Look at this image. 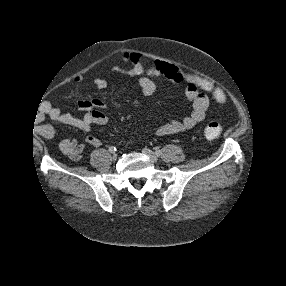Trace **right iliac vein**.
<instances>
[{
  "mask_svg": "<svg viewBox=\"0 0 286 286\" xmlns=\"http://www.w3.org/2000/svg\"><path fill=\"white\" fill-rule=\"evenodd\" d=\"M118 155L116 153L113 154V159H117Z\"/></svg>",
  "mask_w": 286,
  "mask_h": 286,
  "instance_id": "1",
  "label": "right iliac vein"
}]
</instances>
